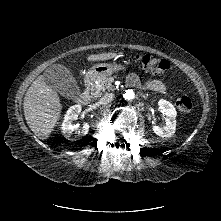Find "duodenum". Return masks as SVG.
Instances as JSON below:
<instances>
[{
    "mask_svg": "<svg viewBox=\"0 0 221 221\" xmlns=\"http://www.w3.org/2000/svg\"><path fill=\"white\" fill-rule=\"evenodd\" d=\"M91 81L92 79L90 77H86L83 81L84 91L81 93V95L78 98V101L83 105H88L91 103L92 97L88 90V86L91 83Z\"/></svg>",
    "mask_w": 221,
    "mask_h": 221,
    "instance_id": "obj_1",
    "label": "duodenum"
}]
</instances>
